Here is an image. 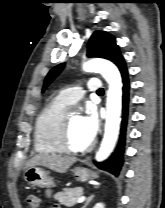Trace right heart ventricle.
<instances>
[{
  "instance_id": "1",
  "label": "right heart ventricle",
  "mask_w": 165,
  "mask_h": 208,
  "mask_svg": "<svg viewBox=\"0 0 165 208\" xmlns=\"http://www.w3.org/2000/svg\"><path fill=\"white\" fill-rule=\"evenodd\" d=\"M66 107L56 98L38 115L34 127V148L38 153L46 155L63 153L59 146V134Z\"/></svg>"
}]
</instances>
